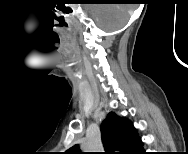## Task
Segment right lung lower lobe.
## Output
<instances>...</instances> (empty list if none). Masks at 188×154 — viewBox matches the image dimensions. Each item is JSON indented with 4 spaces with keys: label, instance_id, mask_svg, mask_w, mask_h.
Wrapping results in <instances>:
<instances>
[{
    "label": "right lung lower lobe",
    "instance_id": "right-lung-lower-lobe-1",
    "mask_svg": "<svg viewBox=\"0 0 188 154\" xmlns=\"http://www.w3.org/2000/svg\"><path fill=\"white\" fill-rule=\"evenodd\" d=\"M144 153V150H142L141 152H140V154H143Z\"/></svg>",
    "mask_w": 188,
    "mask_h": 154
}]
</instances>
